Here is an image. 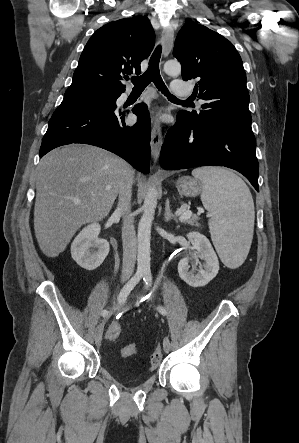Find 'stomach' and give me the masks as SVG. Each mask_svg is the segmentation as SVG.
<instances>
[{"label": "stomach", "mask_w": 299, "mask_h": 443, "mask_svg": "<svg viewBox=\"0 0 299 443\" xmlns=\"http://www.w3.org/2000/svg\"><path fill=\"white\" fill-rule=\"evenodd\" d=\"M178 192L187 197H195L201 192V184L196 178L183 176L176 181Z\"/></svg>", "instance_id": "obj_1"}]
</instances>
